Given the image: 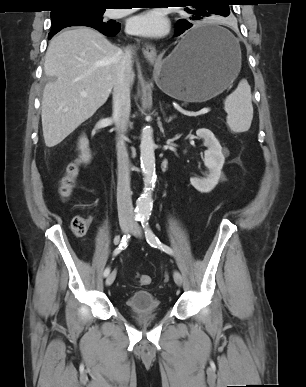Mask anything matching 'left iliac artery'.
Returning <instances> with one entry per match:
<instances>
[{
	"instance_id": "left-iliac-artery-1",
	"label": "left iliac artery",
	"mask_w": 306,
	"mask_h": 387,
	"mask_svg": "<svg viewBox=\"0 0 306 387\" xmlns=\"http://www.w3.org/2000/svg\"><path fill=\"white\" fill-rule=\"evenodd\" d=\"M141 223H142V226L145 230V236H146V240L148 242V244L151 246V247H154V248H159L161 249L162 251L172 255L173 254V251L170 247H168L167 245L165 244H162L160 242V240L157 238V236L153 233V231L150 229L149 227V224H148V218L146 217H143L141 219Z\"/></svg>"
}]
</instances>
